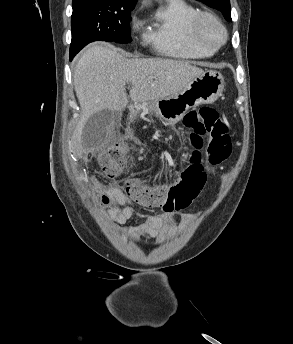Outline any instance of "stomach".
I'll list each match as a JSON object with an SVG mask.
<instances>
[{
	"instance_id": "stomach-1",
	"label": "stomach",
	"mask_w": 293,
	"mask_h": 344,
	"mask_svg": "<svg viewBox=\"0 0 293 344\" xmlns=\"http://www.w3.org/2000/svg\"><path fill=\"white\" fill-rule=\"evenodd\" d=\"M224 84V78L219 72L207 70L178 94L136 104L135 107L143 112L152 111L165 122L176 124L190 108L216 101L223 92Z\"/></svg>"
}]
</instances>
